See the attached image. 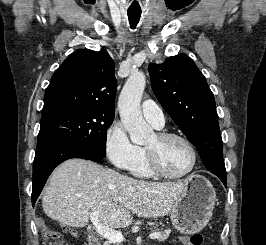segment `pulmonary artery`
<instances>
[{"mask_svg":"<svg viewBox=\"0 0 266 245\" xmlns=\"http://www.w3.org/2000/svg\"><path fill=\"white\" fill-rule=\"evenodd\" d=\"M141 110L145 119L155 127H161L164 124L163 111L158 105H153V100H142Z\"/></svg>","mask_w":266,"mask_h":245,"instance_id":"1","label":"pulmonary artery"}]
</instances>
